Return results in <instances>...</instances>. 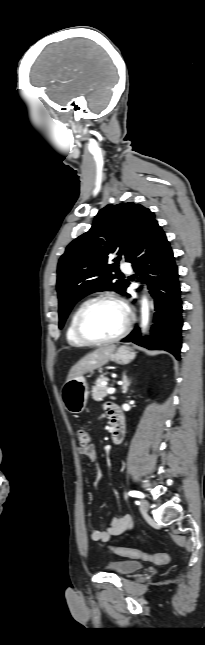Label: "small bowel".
I'll use <instances>...</instances> for the list:
<instances>
[{"mask_svg": "<svg viewBox=\"0 0 205 645\" xmlns=\"http://www.w3.org/2000/svg\"><path fill=\"white\" fill-rule=\"evenodd\" d=\"M114 411V406L107 407V413L112 420V412ZM78 453L86 457L89 461L96 463L97 462V452L94 446L81 447L78 449ZM100 485V473L99 471L96 474L95 486L98 488ZM133 527V520L130 515H124L121 517H113L110 520L109 525L101 530L97 529L91 532L89 538L92 542H102L107 543L112 538L123 535L124 533L130 531Z\"/></svg>", "mask_w": 205, "mask_h": 645, "instance_id": "1", "label": "small bowel"}]
</instances>
